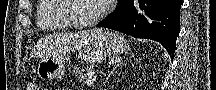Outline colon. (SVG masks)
Segmentation results:
<instances>
[{
    "label": "colon",
    "instance_id": "obj_1",
    "mask_svg": "<svg viewBox=\"0 0 216 90\" xmlns=\"http://www.w3.org/2000/svg\"><path fill=\"white\" fill-rule=\"evenodd\" d=\"M25 90H40V88L35 82L31 81L26 84Z\"/></svg>",
    "mask_w": 216,
    "mask_h": 90
}]
</instances>
